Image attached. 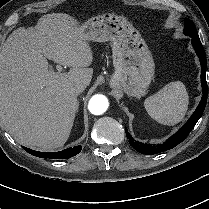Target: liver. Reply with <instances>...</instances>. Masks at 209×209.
<instances>
[{"label": "liver", "instance_id": "liver-1", "mask_svg": "<svg viewBox=\"0 0 209 209\" xmlns=\"http://www.w3.org/2000/svg\"><path fill=\"white\" fill-rule=\"evenodd\" d=\"M78 21L65 13L14 30L0 51V121L19 143L41 150L62 147L77 112L76 84L89 85L91 47ZM47 59L72 67L57 75Z\"/></svg>", "mask_w": 209, "mask_h": 209}]
</instances>
